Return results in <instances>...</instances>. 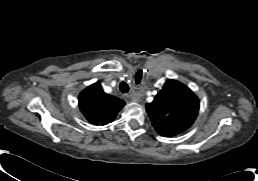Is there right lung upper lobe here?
I'll list each match as a JSON object with an SVG mask.
<instances>
[{
    "label": "right lung upper lobe",
    "instance_id": "cb5924a9",
    "mask_svg": "<svg viewBox=\"0 0 258 181\" xmlns=\"http://www.w3.org/2000/svg\"><path fill=\"white\" fill-rule=\"evenodd\" d=\"M124 104L123 100L106 94L98 83L88 86L79 95L80 110L94 125L112 122Z\"/></svg>",
    "mask_w": 258,
    "mask_h": 181
}]
</instances>
